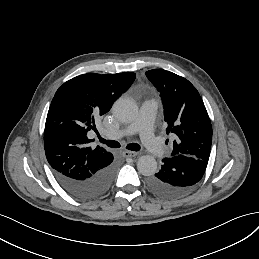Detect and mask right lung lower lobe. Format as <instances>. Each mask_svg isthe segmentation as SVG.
Wrapping results in <instances>:
<instances>
[{
  "label": "right lung lower lobe",
  "instance_id": "1",
  "mask_svg": "<svg viewBox=\"0 0 259 259\" xmlns=\"http://www.w3.org/2000/svg\"><path fill=\"white\" fill-rule=\"evenodd\" d=\"M112 161L87 178H73L54 170L53 174L62 188L73 197L80 200H93L107 193L112 185L115 174Z\"/></svg>",
  "mask_w": 259,
  "mask_h": 259
}]
</instances>
